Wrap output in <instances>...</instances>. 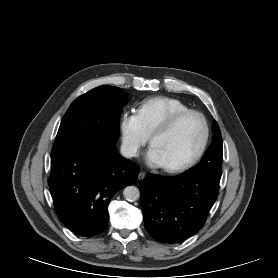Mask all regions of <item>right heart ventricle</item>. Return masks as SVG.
<instances>
[{
	"label": "right heart ventricle",
	"mask_w": 278,
	"mask_h": 278,
	"mask_svg": "<svg viewBox=\"0 0 278 278\" xmlns=\"http://www.w3.org/2000/svg\"><path fill=\"white\" fill-rule=\"evenodd\" d=\"M190 108L179 99L156 96L141 101L137 113L149 134L174 114Z\"/></svg>",
	"instance_id": "right-heart-ventricle-1"
}]
</instances>
